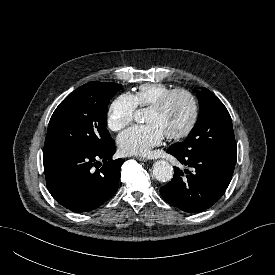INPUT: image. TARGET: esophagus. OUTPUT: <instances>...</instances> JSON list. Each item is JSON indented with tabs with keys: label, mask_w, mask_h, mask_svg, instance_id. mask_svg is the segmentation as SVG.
Here are the masks:
<instances>
[{
	"label": "esophagus",
	"mask_w": 275,
	"mask_h": 275,
	"mask_svg": "<svg viewBox=\"0 0 275 275\" xmlns=\"http://www.w3.org/2000/svg\"><path fill=\"white\" fill-rule=\"evenodd\" d=\"M137 160H139V161H147L148 160V158H146V157H135Z\"/></svg>",
	"instance_id": "34e87169"
}]
</instances>
